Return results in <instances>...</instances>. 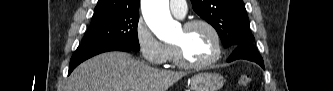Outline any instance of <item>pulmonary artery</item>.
I'll list each match as a JSON object with an SVG mask.
<instances>
[{
  "label": "pulmonary artery",
  "mask_w": 333,
  "mask_h": 91,
  "mask_svg": "<svg viewBox=\"0 0 333 91\" xmlns=\"http://www.w3.org/2000/svg\"><path fill=\"white\" fill-rule=\"evenodd\" d=\"M170 11L172 14L180 19L184 18L187 13V6L185 1H170Z\"/></svg>",
  "instance_id": "pulmonary-artery-1"
}]
</instances>
